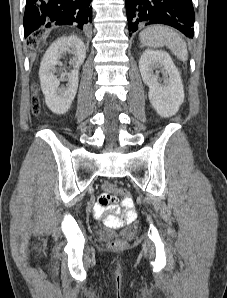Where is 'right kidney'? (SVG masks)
Here are the masks:
<instances>
[{"label":"right kidney","mask_w":227,"mask_h":298,"mask_svg":"<svg viewBox=\"0 0 227 298\" xmlns=\"http://www.w3.org/2000/svg\"><path fill=\"white\" fill-rule=\"evenodd\" d=\"M67 54L72 55L73 70L63 72L60 79L55 75L56 66ZM86 57V47L77 36L61 37L54 41L45 52L39 70L41 88L49 109L56 114L68 111L78 89L79 67ZM68 77V85L59 88L60 80Z\"/></svg>","instance_id":"right-kidney-1"}]
</instances>
